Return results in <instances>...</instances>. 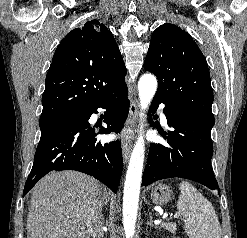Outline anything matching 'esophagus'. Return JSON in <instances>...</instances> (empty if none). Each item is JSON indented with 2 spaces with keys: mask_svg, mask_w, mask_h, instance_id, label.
I'll return each instance as SVG.
<instances>
[{
  "mask_svg": "<svg viewBox=\"0 0 247 238\" xmlns=\"http://www.w3.org/2000/svg\"><path fill=\"white\" fill-rule=\"evenodd\" d=\"M138 112V101L136 99H133L130 104L129 115L124 128L125 134L122 140V153L124 163H127L132 149V142L130 139H128V136L126 134L132 131L133 127L135 126L138 118Z\"/></svg>",
  "mask_w": 247,
  "mask_h": 238,
  "instance_id": "1",
  "label": "esophagus"
}]
</instances>
